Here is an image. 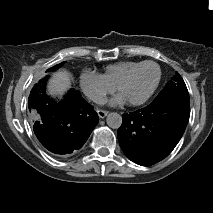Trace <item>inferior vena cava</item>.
Here are the masks:
<instances>
[{"label":"inferior vena cava","instance_id":"602c4592","mask_svg":"<svg viewBox=\"0 0 213 213\" xmlns=\"http://www.w3.org/2000/svg\"><path fill=\"white\" fill-rule=\"evenodd\" d=\"M90 99L94 102V103H96V104H104L105 103V98L103 97V96H101V95H92L91 97H90Z\"/></svg>","mask_w":213,"mask_h":213}]
</instances>
